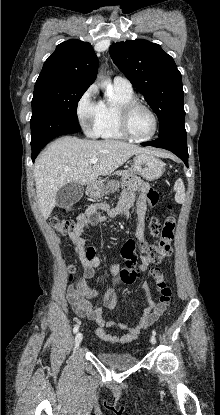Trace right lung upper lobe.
<instances>
[{"label": "right lung upper lobe", "instance_id": "cb5924a9", "mask_svg": "<svg viewBox=\"0 0 220 415\" xmlns=\"http://www.w3.org/2000/svg\"><path fill=\"white\" fill-rule=\"evenodd\" d=\"M98 58L88 42L70 39L45 61L36 84L67 83L89 87L96 79Z\"/></svg>", "mask_w": 220, "mask_h": 415}]
</instances>
